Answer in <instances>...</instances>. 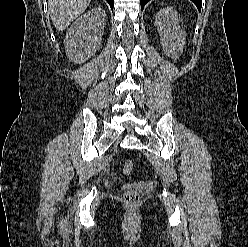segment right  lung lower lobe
I'll return each mask as SVG.
<instances>
[{
	"label": "right lung lower lobe",
	"instance_id": "98d812e1",
	"mask_svg": "<svg viewBox=\"0 0 248 247\" xmlns=\"http://www.w3.org/2000/svg\"><path fill=\"white\" fill-rule=\"evenodd\" d=\"M106 1L109 3L111 9L113 10L114 0H106Z\"/></svg>",
	"mask_w": 248,
	"mask_h": 247
}]
</instances>
